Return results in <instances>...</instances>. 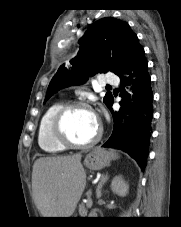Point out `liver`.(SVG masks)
Returning <instances> with one entry per match:
<instances>
[{
  "label": "liver",
  "mask_w": 181,
  "mask_h": 227,
  "mask_svg": "<svg viewBox=\"0 0 181 227\" xmlns=\"http://www.w3.org/2000/svg\"><path fill=\"white\" fill-rule=\"evenodd\" d=\"M81 157L74 154L35 161L32 189L43 217H70L74 213L86 185Z\"/></svg>",
  "instance_id": "6515ba94"
}]
</instances>
